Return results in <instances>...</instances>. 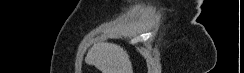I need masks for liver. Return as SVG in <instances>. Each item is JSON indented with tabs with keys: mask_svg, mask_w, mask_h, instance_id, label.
<instances>
[{
	"mask_svg": "<svg viewBox=\"0 0 244 73\" xmlns=\"http://www.w3.org/2000/svg\"><path fill=\"white\" fill-rule=\"evenodd\" d=\"M86 59L102 73H133L129 55L114 43L102 42L94 45L88 51Z\"/></svg>",
	"mask_w": 244,
	"mask_h": 73,
	"instance_id": "6515ba94",
	"label": "liver"
}]
</instances>
